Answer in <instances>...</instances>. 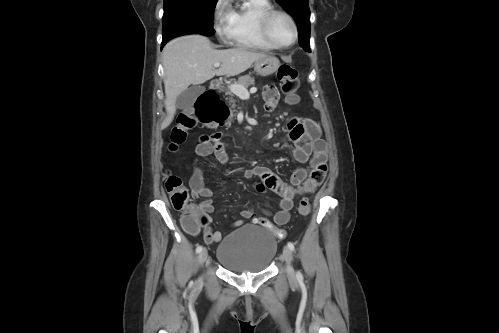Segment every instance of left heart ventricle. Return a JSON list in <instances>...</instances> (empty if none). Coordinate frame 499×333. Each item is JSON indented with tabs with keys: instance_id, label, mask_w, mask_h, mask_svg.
<instances>
[{
	"instance_id": "b2bd125f",
	"label": "left heart ventricle",
	"mask_w": 499,
	"mask_h": 333,
	"mask_svg": "<svg viewBox=\"0 0 499 333\" xmlns=\"http://www.w3.org/2000/svg\"><path fill=\"white\" fill-rule=\"evenodd\" d=\"M270 33L273 39L280 45H286L293 38V30L290 22L282 15L273 17L270 23Z\"/></svg>"
}]
</instances>
